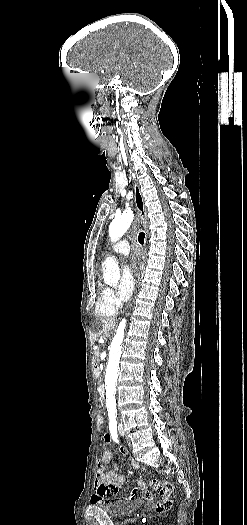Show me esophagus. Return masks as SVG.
I'll return each instance as SVG.
<instances>
[{
    "label": "esophagus",
    "instance_id": "obj_1",
    "mask_svg": "<svg viewBox=\"0 0 247 525\" xmlns=\"http://www.w3.org/2000/svg\"><path fill=\"white\" fill-rule=\"evenodd\" d=\"M133 189H134L135 205L140 214L141 220L143 221L144 228L147 231L148 225L146 221L147 216H146V210H145V203H144L143 195L141 193L138 183L133 184Z\"/></svg>",
    "mask_w": 247,
    "mask_h": 525
}]
</instances>
